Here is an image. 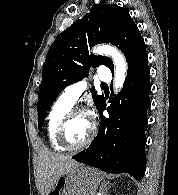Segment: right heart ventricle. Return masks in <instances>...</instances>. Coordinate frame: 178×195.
<instances>
[{"instance_id":"1","label":"right heart ventricle","mask_w":178,"mask_h":195,"mask_svg":"<svg viewBox=\"0 0 178 195\" xmlns=\"http://www.w3.org/2000/svg\"><path fill=\"white\" fill-rule=\"evenodd\" d=\"M73 105L66 102L61 96L55 101L53 106L51 107L48 116H47V125H46V132L50 146L53 150L58 152H63L65 150L62 147L56 138L57 129L66 115V113L72 109Z\"/></svg>"}]
</instances>
